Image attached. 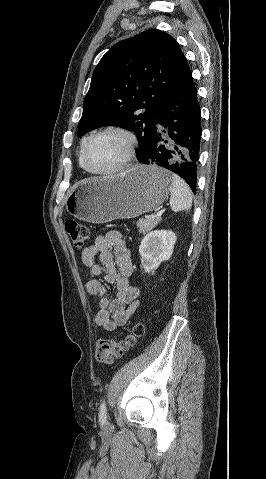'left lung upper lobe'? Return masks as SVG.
Instances as JSON below:
<instances>
[{
	"label": "left lung upper lobe",
	"mask_w": 266,
	"mask_h": 479,
	"mask_svg": "<svg viewBox=\"0 0 266 479\" xmlns=\"http://www.w3.org/2000/svg\"><path fill=\"white\" fill-rule=\"evenodd\" d=\"M189 70L177 41L160 30L118 42L93 72L77 135L106 125L133 130L141 161L162 105Z\"/></svg>",
	"instance_id": "1"
}]
</instances>
